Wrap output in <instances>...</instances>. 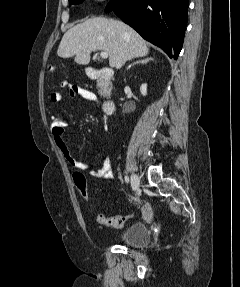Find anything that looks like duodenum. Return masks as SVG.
Masks as SVG:
<instances>
[{
  "mask_svg": "<svg viewBox=\"0 0 240 287\" xmlns=\"http://www.w3.org/2000/svg\"><path fill=\"white\" fill-rule=\"evenodd\" d=\"M89 77L94 80H98L101 83H105L112 77V72L107 68L90 69ZM103 109L106 114H112L115 109V102L110 97H107L103 102Z\"/></svg>",
  "mask_w": 240,
  "mask_h": 287,
  "instance_id": "1",
  "label": "duodenum"
}]
</instances>
